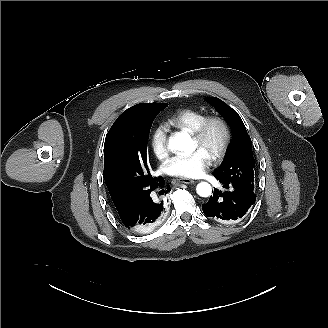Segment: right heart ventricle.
Listing matches in <instances>:
<instances>
[{"mask_svg":"<svg viewBox=\"0 0 328 328\" xmlns=\"http://www.w3.org/2000/svg\"><path fill=\"white\" fill-rule=\"evenodd\" d=\"M205 117L206 114L200 110L186 109L172 114L168 121L172 126L191 133Z\"/></svg>","mask_w":328,"mask_h":328,"instance_id":"obj_1","label":"right heart ventricle"}]
</instances>
